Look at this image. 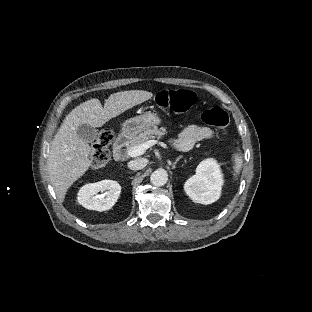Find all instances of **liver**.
<instances>
[{"label": "liver", "instance_id": "obj_1", "mask_svg": "<svg viewBox=\"0 0 312 312\" xmlns=\"http://www.w3.org/2000/svg\"><path fill=\"white\" fill-rule=\"evenodd\" d=\"M153 94L143 90H130L111 94L104 107L90 99L75 107L64 119L56 133L48 156L47 171L57 198L63 202L68 188L89 169V144L77 135L82 124L102 127L111 118L151 99Z\"/></svg>", "mask_w": 312, "mask_h": 312}]
</instances>
